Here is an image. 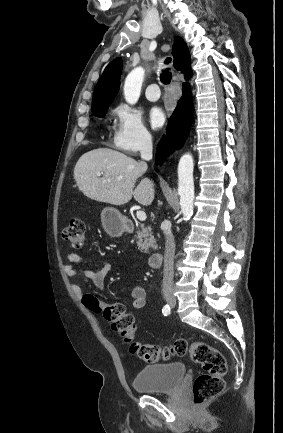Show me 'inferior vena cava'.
Masks as SVG:
<instances>
[{"instance_id":"obj_1","label":"inferior vena cava","mask_w":283,"mask_h":433,"mask_svg":"<svg viewBox=\"0 0 283 433\" xmlns=\"http://www.w3.org/2000/svg\"><path fill=\"white\" fill-rule=\"evenodd\" d=\"M141 158L144 160H151L152 158V140L151 138H144L140 146ZM165 235V255H164V277H163V293H173V263L175 255V243L172 231L164 229Z\"/></svg>"}]
</instances>
